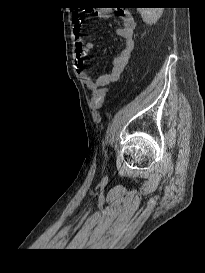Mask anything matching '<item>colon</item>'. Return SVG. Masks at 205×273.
Returning <instances> with one entry per match:
<instances>
[{"label": "colon", "instance_id": "obj_1", "mask_svg": "<svg viewBox=\"0 0 205 273\" xmlns=\"http://www.w3.org/2000/svg\"><path fill=\"white\" fill-rule=\"evenodd\" d=\"M106 90H99L93 96V105L95 108L101 107L104 102Z\"/></svg>", "mask_w": 205, "mask_h": 273}]
</instances>
